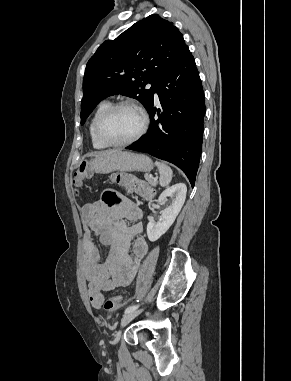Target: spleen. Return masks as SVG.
<instances>
[{"label": "spleen", "mask_w": 291, "mask_h": 381, "mask_svg": "<svg viewBox=\"0 0 291 381\" xmlns=\"http://www.w3.org/2000/svg\"><path fill=\"white\" fill-rule=\"evenodd\" d=\"M155 165L157 166L160 173L159 184L162 187L169 185L173 176L172 169L165 163L158 162V161L155 162Z\"/></svg>", "instance_id": "spleen-1"}]
</instances>
